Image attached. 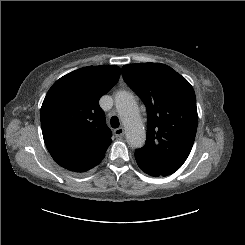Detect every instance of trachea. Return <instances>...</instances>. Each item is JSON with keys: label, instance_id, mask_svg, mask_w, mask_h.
I'll use <instances>...</instances> for the list:
<instances>
[{"label": "trachea", "instance_id": "trachea-1", "mask_svg": "<svg viewBox=\"0 0 245 245\" xmlns=\"http://www.w3.org/2000/svg\"><path fill=\"white\" fill-rule=\"evenodd\" d=\"M110 123L113 128H118L120 125L119 119L116 116L111 118Z\"/></svg>", "mask_w": 245, "mask_h": 245}]
</instances>
